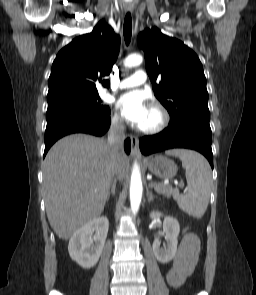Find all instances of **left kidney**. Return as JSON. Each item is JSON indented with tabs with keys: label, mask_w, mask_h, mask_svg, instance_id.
Returning a JSON list of instances; mask_svg holds the SVG:
<instances>
[{
	"label": "left kidney",
	"mask_w": 256,
	"mask_h": 295,
	"mask_svg": "<svg viewBox=\"0 0 256 295\" xmlns=\"http://www.w3.org/2000/svg\"><path fill=\"white\" fill-rule=\"evenodd\" d=\"M162 215L163 214L159 211H152L150 213V218L157 219ZM163 232L165 234L166 244L161 247V241L158 238H155L153 241V253L160 263L167 264L175 257L177 252L178 235L180 232L178 221L171 216H165L163 221Z\"/></svg>",
	"instance_id": "obj_1"
}]
</instances>
